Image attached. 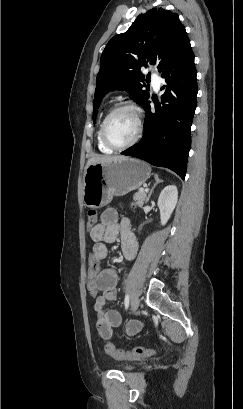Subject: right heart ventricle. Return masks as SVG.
<instances>
[{
    "instance_id": "obj_1",
    "label": "right heart ventricle",
    "mask_w": 243,
    "mask_h": 409,
    "mask_svg": "<svg viewBox=\"0 0 243 409\" xmlns=\"http://www.w3.org/2000/svg\"><path fill=\"white\" fill-rule=\"evenodd\" d=\"M101 124L98 127L97 134H96L97 146L100 152L105 153V154H111L113 153L114 150L106 146L101 138Z\"/></svg>"
}]
</instances>
